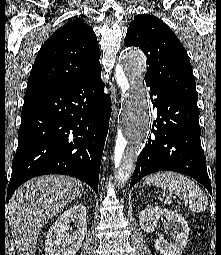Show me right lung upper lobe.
<instances>
[{
	"label": "right lung upper lobe",
	"instance_id": "1",
	"mask_svg": "<svg viewBox=\"0 0 221 255\" xmlns=\"http://www.w3.org/2000/svg\"><path fill=\"white\" fill-rule=\"evenodd\" d=\"M93 29L83 18L67 22L41 47L28 79L26 94L80 80L101 69Z\"/></svg>",
	"mask_w": 221,
	"mask_h": 255
}]
</instances>
